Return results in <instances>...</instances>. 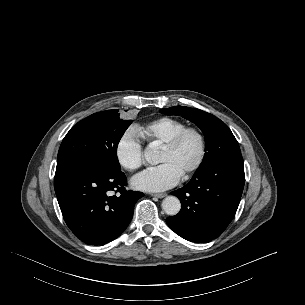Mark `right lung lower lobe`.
I'll list each match as a JSON object with an SVG mask.
<instances>
[{"label":"right lung lower lobe","instance_id":"obj_1","mask_svg":"<svg viewBox=\"0 0 305 305\" xmlns=\"http://www.w3.org/2000/svg\"><path fill=\"white\" fill-rule=\"evenodd\" d=\"M126 182L121 171L91 166L56 168L57 200L76 237L88 245H104L121 235L132 219L135 203L144 195L125 190Z\"/></svg>","mask_w":305,"mask_h":305}]
</instances>
